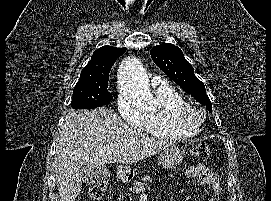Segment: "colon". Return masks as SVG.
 I'll return each mask as SVG.
<instances>
[{
	"mask_svg": "<svg viewBox=\"0 0 271 201\" xmlns=\"http://www.w3.org/2000/svg\"><path fill=\"white\" fill-rule=\"evenodd\" d=\"M192 154L196 158L205 159L210 156V147L206 143L196 144L192 148ZM107 183L99 181L91 186L88 193V201H99L105 194Z\"/></svg>",
	"mask_w": 271,
	"mask_h": 201,
	"instance_id": "1",
	"label": "colon"
}]
</instances>
